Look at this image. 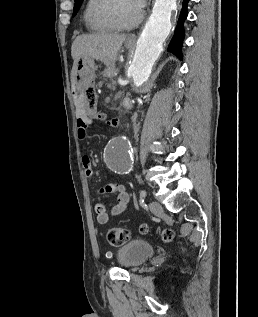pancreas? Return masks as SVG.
<instances>
[{
  "label": "pancreas",
  "instance_id": "cf45deb5",
  "mask_svg": "<svg viewBox=\"0 0 258 317\" xmlns=\"http://www.w3.org/2000/svg\"><path fill=\"white\" fill-rule=\"evenodd\" d=\"M110 83H111V89L113 90L114 93H119L120 92V87L117 84V78L116 77H111L110 78Z\"/></svg>",
  "mask_w": 258,
  "mask_h": 317
}]
</instances>
